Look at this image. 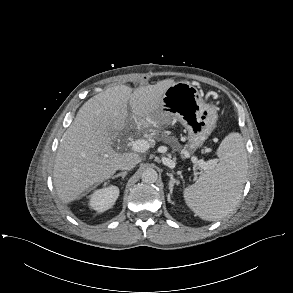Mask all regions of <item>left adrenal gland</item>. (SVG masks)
Listing matches in <instances>:
<instances>
[{"label":"left adrenal gland","mask_w":293,"mask_h":293,"mask_svg":"<svg viewBox=\"0 0 293 293\" xmlns=\"http://www.w3.org/2000/svg\"><path fill=\"white\" fill-rule=\"evenodd\" d=\"M167 175L170 177V181H169V190H170V193L172 194L173 192V187L174 185H179V181L176 180L174 177H173V174L172 173H167Z\"/></svg>","instance_id":"a2214340"}]
</instances>
